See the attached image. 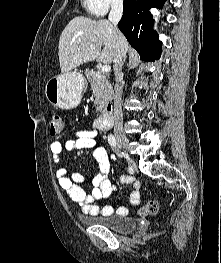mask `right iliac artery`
<instances>
[{
	"label": "right iliac artery",
	"mask_w": 221,
	"mask_h": 263,
	"mask_svg": "<svg viewBox=\"0 0 221 263\" xmlns=\"http://www.w3.org/2000/svg\"><path fill=\"white\" fill-rule=\"evenodd\" d=\"M108 142L111 145V147L116 151L117 155L119 157H122V154L119 152V149L117 148L116 139L112 134L108 136Z\"/></svg>",
	"instance_id": "1"
}]
</instances>
